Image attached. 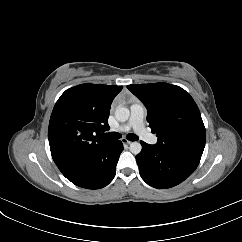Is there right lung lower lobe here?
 I'll list each match as a JSON object with an SVG mask.
<instances>
[{
	"mask_svg": "<svg viewBox=\"0 0 242 242\" xmlns=\"http://www.w3.org/2000/svg\"><path fill=\"white\" fill-rule=\"evenodd\" d=\"M123 144L111 141L98 147L69 168L61 171L72 183L87 189H99L108 185L116 174V165Z\"/></svg>",
	"mask_w": 242,
	"mask_h": 242,
	"instance_id": "98d812e1",
	"label": "right lung lower lobe"
}]
</instances>
